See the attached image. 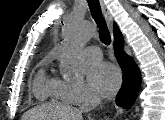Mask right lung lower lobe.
<instances>
[{"instance_id":"obj_1","label":"right lung lower lobe","mask_w":165,"mask_h":120,"mask_svg":"<svg viewBox=\"0 0 165 120\" xmlns=\"http://www.w3.org/2000/svg\"><path fill=\"white\" fill-rule=\"evenodd\" d=\"M123 45V37L114 40L115 56L123 72V83L117 94L116 104L129 109L137 98L141 74L134 60L123 51Z\"/></svg>"}]
</instances>
